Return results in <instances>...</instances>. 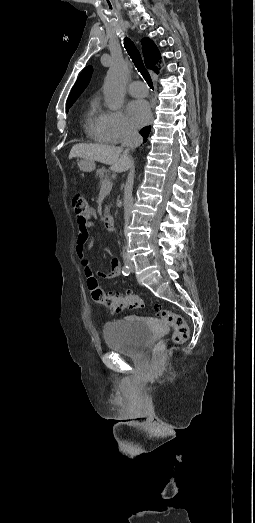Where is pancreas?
<instances>
[{
    "mask_svg": "<svg viewBox=\"0 0 255 523\" xmlns=\"http://www.w3.org/2000/svg\"><path fill=\"white\" fill-rule=\"evenodd\" d=\"M109 170H106V168H101V170H96V176H99L100 178V184H103V182H110V176H107ZM109 212V206H106L104 210V214H108Z\"/></svg>",
    "mask_w": 255,
    "mask_h": 523,
    "instance_id": "cf45deb5",
    "label": "pancreas"
}]
</instances>
